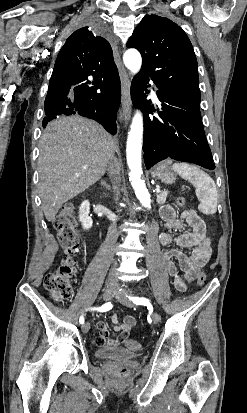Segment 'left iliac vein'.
Masks as SVG:
<instances>
[{
    "label": "left iliac vein",
    "instance_id": "1",
    "mask_svg": "<svg viewBox=\"0 0 247 413\" xmlns=\"http://www.w3.org/2000/svg\"><path fill=\"white\" fill-rule=\"evenodd\" d=\"M117 296H118V301L121 304H123L127 307H134V304L131 301L127 300L124 296H122V294L120 292L117 293ZM152 322L156 325L159 324V322H160V316H159L158 312H156V311L152 313Z\"/></svg>",
    "mask_w": 247,
    "mask_h": 413
}]
</instances>
